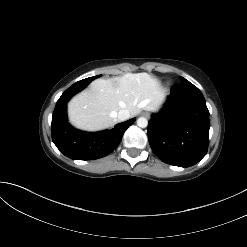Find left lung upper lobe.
<instances>
[{
  "instance_id": "1",
  "label": "left lung upper lobe",
  "mask_w": 247,
  "mask_h": 247,
  "mask_svg": "<svg viewBox=\"0 0 247 247\" xmlns=\"http://www.w3.org/2000/svg\"><path fill=\"white\" fill-rule=\"evenodd\" d=\"M182 82H188L185 78L181 77Z\"/></svg>"
}]
</instances>
